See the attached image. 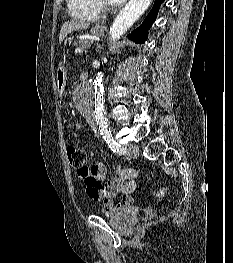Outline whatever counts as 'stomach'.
I'll return each instance as SVG.
<instances>
[{
    "label": "stomach",
    "instance_id": "stomach-1",
    "mask_svg": "<svg viewBox=\"0 0 233 263\" xmlns=\"http://www.w3.org/2000/svg\"><path fill=\"white\" fill-rule=\"evenodd\" d=\"M91 33L94 36H102L104 33V27L100 25H96L91 29ZM57 83V90L58 91H65L66 88H68V83H65L66 81V70L63 66H59L57 70V78H56Z\"/></svg>",
    "mask_w": 233,
    "mask_h": 263
}]
</instances>
